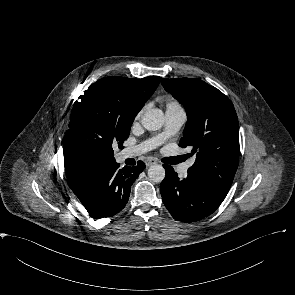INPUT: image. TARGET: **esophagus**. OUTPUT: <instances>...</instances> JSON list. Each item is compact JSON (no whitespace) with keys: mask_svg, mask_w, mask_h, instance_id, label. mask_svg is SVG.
Segmentation results:
<instances>
[{"mask_svg":"<svg viewBox=\"0 0 295 295\" xmlns=\"http://www.w3.org/2000/svg\"><path fill=\"white\" fill-rule=\"evenodd\" d=\"M157 162L158 161L153 157H148V158L145 159L146 166H152L154 164H157Z\"/></svg>","mask_w":295,"mask_h":295,"instance_id":"34e87169","label":"esophagus"}]
</instances>
